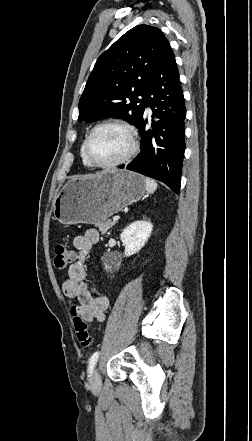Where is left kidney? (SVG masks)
<instances>
[{
	"label": "left kidney",
	"instance_id": "1",
	"mask_svg": "<svg viewBox=\"0 0 252 441\" xmlns=\"http://www.w3.org/2000/svg\"><path fill=\"white\" fill-rule=\"evenodd\" d=\"M152 224L146 220H138L127 226L121 233V241L125 246L124 255L129 257L140 251L152 232ZM106 268H109L105 264Z\"/></svg>",
	"mask_w": 252,
	"mask_h": 441
}]
</instances>
